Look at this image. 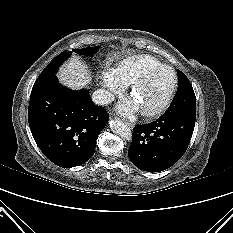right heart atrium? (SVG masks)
<instances>
[{
    "label": "right heart atrium",
    "instance_id": "obj_1",
    "mask_svg": "<svg viewBox=\"0 0 233 233\" xmlns=\"http://www.w3.org/2000/svg\"><path fill=\"white\" fill-rule=\"evenodd\" d=\"M100 82L106 101L110 100L115 94L122 93L125 89V84L120 79L116 69H104L100 74Z\"/></svg>",
    "mask_w": 233,
    "mask_h": 233
}]
</instances>
